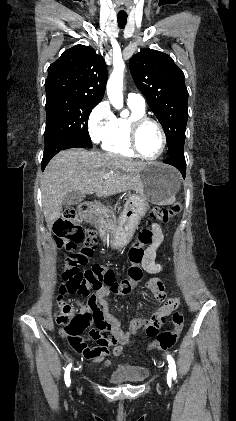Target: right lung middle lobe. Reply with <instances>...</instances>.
I'll return each instance as SVG.
<instances>
[{"label": "right lung middle lobe", "mask_w": 236, "mask_h": 421, "mask_svg": "<svg viewBox=\"0 0 236 421\" xmlns=\"http://www.w3.org/2000/svg\"><path fill=\"white\" fill-rule=\"evenodd\" d=\"M98 103L99 101L84 96L47 94L45 147L57 139L67 138L91 148L87 122L92 109Z\"/></svg>", "instance_id": "obj_1"}]
</instances>
